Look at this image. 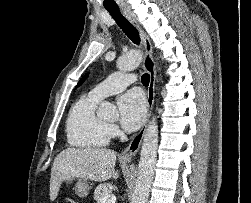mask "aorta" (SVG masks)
<instances>
[{"mask_svg":"<svg viewBox=\"0 0 251 203\" xmlns=\"http://www.w3.org/2000/svg\"><path fill=\"white\" fill-rule=\"evenodd\" d=\"M142 54L133 50L122 56L117 61V67L121 71H131L137 68L141 62ZM117 114L116 107L109 102H102L98 109L101 117H113ZM158 148V126L155 118L150 121L143 138L138 174L135 182L131 203H147L150 188L154 176Z\"/></svg>","mask_w":251,"mask_h":203,"instance_id":"aorta-1","label":"aorta"}]
</instances>
